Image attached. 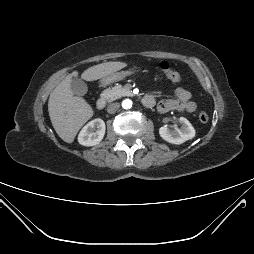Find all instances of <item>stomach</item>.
I'll return each mask as SVG.
<instances>
[{"instance_id": "1", "label": "stomach", "mask_w": 254, "mask_h": 254, "mask_svg": "<svg viewBox=\"0 0 254 254\" xmlns=\"http://www.w3.org/2000/svg\"><path fill=\"white\" fill-rule=\"evenodd\" d=\"M136 72H137L136 68H129L127 70H123V71H120V72L113 73L111 75H108V76L104 77L102 79V84L107 85V84H110L112 82L120 81V80L124 79L127 76L135 74Z\"/></svg>"}]
</instances>
